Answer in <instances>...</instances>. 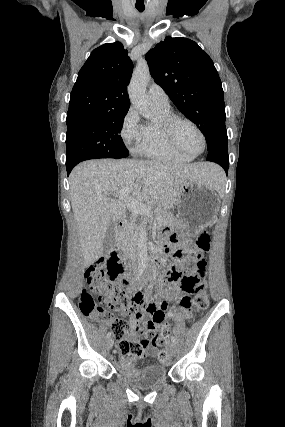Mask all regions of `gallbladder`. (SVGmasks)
<instances>
[{"label":"gallbladder","mask_w":285,"mask_h":427,"mask_svg":"<svg viewBox=\"0 0 285 427\" xmlns=\"http://www.w3.org/2000/svg\"><path fill=\"white\" fill-rule=\"evenodd\" d=\"M115 228L114 224L111 222L106 230L105 238L103 241V252L109 253L115 247Z\"/></svg>","instance_id":"1"}]
</instances>
